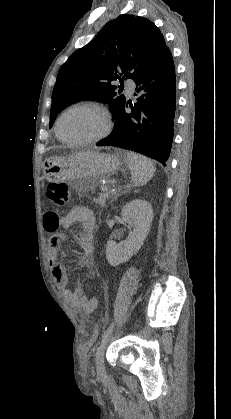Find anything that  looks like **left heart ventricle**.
Segmentation results:
<instances>
[{
    "mask_svg": "<svg viewBox=\"0 0 231 419\" xmlns=\"http://www.w3.org/2000/svg\"><path fill=\"white\" fill-rule=\"evenodd\" d=\"M100 114L87 109H77L67 113L61 123L60 131L68 139L78 140L93 137L103 129Z\"/></svg>",
    "mask_w": 231,
    "mask_h": 419,
    "instance_id": "obj_1",
    "label": "left heart ventricle"
}]
</instances>
